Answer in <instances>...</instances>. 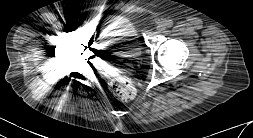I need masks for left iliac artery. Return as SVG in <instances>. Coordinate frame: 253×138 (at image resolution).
Masks as SVG:
<instances>
[{"label":"left iliac artery","mask_w":253,"mask_h":138,"mask_svg":"<svg viewBox=\"0 0 253 138\" xmlns=\"http://www.w3.org/2000/svg\"><path fill=\"white\" fill-rule=\"evenodd\" d=\"M165 26L168 27V28L172 27L173 26V21L172 20H167L165 22Z\"/></svg>","instance_id":"obj_1"}]
</instances>
